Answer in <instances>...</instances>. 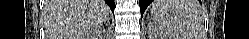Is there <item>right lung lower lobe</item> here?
Segmentation results:
<instances>
[{
    "instance_id": "obj_1",
    "label": "right lung lower lobe",
    "mask_w": 249,
    "mask_h": 39,
    "mask_svg": "<svg viewBox=\"0 0 249 39\" xmlns=\"http://www.w3.org/2000/svg\"><path fill=\"white\" fill-rule=\"evenodd\" d=\"M106 3L109 5L110 9L114 13V6H115L114 0H106Z\"/></svg>"
}]
</instances>
